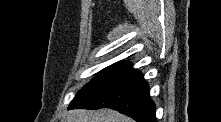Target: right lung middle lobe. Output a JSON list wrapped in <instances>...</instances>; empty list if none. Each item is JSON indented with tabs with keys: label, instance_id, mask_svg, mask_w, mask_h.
<instances>
[{
	"label": "right lung middle lobe",
	"instance_id": "obj_1",
	"mask_svg": "<svg viewBox=\"0 0 221 122\" xmlns=\"http://www.w3.org/2000/svg\"><path fill=\"white\" fill-rule=\"evenodd\" d=\"M132 71L133 68L131 63L128 61H120L105 68L102 71L104 72L102 75L91 80L76 94L71 104L83 101L100 92H103L104 90L123 80Z\"/></svg>",
	"mask_w": 221,
	"mask_h": 122
}]
</instances>
